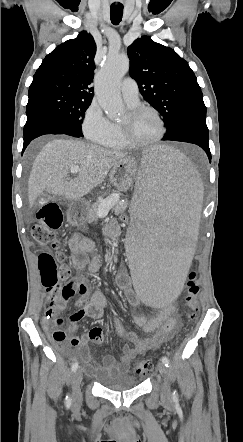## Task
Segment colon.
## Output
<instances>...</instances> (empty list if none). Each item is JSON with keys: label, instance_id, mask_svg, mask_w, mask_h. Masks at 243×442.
<instances>
[{"label": "colon", "instance_id": "colon-1", "mask_svg": "<svg viewBox=\"0 0 243 442\" xmlns=\"http://www.w3.org/2000/svg\"><path fill=\"white\" fill-rule=\"evenodd\" d=\"M57 200H50L49 203H44L43 207L38 212L39 222L32 228L31 234L34 241L43 247H48L56 250L59 243L56 239L55 232L61 227L63 223V213L58 206ZM127 213H118V222H123L125 226L130 224ZM57 258H61L58 255ZM39 271L43 287L48 293L47 310L52 311L55 307L66 303L76 291V287L70 283L62 285L61 281L69 277L70 270L66 265H58L56 258L50 253H43L39 256ZM199 269L195 266L190 267L185 278L184 283L187 285L186 290L182 291V298L187 308V321L195 318L198 310V296L200 287L197 281V273ZM52 338L56 341H64L67 338L63 330V321L57 319L56 324L52 330ZM132 371L139 375H145L153 371V363L150 360H143L142 357H133Z\"/></svg>", "mask_w": 243, "mask_h": 442}]
</instances>
